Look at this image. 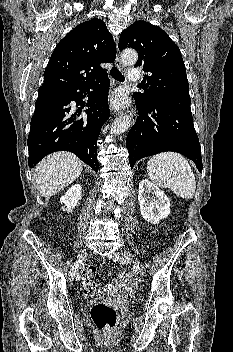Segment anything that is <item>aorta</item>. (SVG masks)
<instances>
[{"instance_id": "1", "label": "aorta", "mask_w": 233, "mask_h": 352, "mask_svg": "<svg viewBox=\"0 0 233 352\" xmlns=\"http://www.w3.org/2000/svg\"><path fill=\"white\" fill-rule=\"evenodd\" d=\"M138 59L137 53L134 50H125L121 54V60L128 64L136 63ZM131 125V119L129 117L117 118L110 127V133L113 135L121 134L126 131Z\"/></svg>"}]
</instances>
